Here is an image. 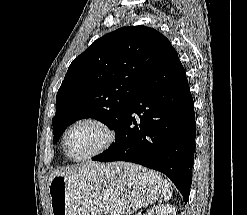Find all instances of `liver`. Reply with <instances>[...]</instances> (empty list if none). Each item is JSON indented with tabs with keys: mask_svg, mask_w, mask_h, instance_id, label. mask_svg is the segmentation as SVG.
Masks as SVG:
<instances>
[{
	"mask_svg": "<svg viewBox=\"0 0 247 215\" xmlns=\"http://www.w3.org/2000/svg\"><path fill=\"white\" fill-rule=\"evenodd\" d=\"M103 164H99V163H94V162H89L83 165H79V166H72L69 168H66L64 170H58L56 171L50 178L49 181L52 180L53 177L55 176H68V177H73L76 176L78 174L82 175L84 174L89 168L91 167H96V168H100Z\"/></svg>",
	"mask_w": 247,
	"mask_h": 215,
	"instance_id": "obj_1",
	"label": "liver"
}]
</instances>
